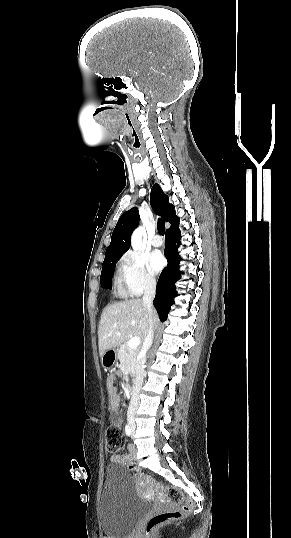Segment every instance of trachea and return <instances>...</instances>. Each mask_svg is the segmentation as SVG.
I'll return each mask as SVG.
<instances>
[{
  "instance_id": "trachea-1",
  "label": "trachea",
  "mask_w": 291,
  "mask_h": 538,
  "mask_svg": "<svg viewBox=\"0 0 291 538\" xmlns=\"http://www.w3.org/2000/svg\"><path fill=\"white\" fill-rule=\"evenodd\" d=\"M157 229H158V232L161 234V235H164L165 233V223L162 219H159L158 222H157Z\"/></svg>"
}]
</instances>
